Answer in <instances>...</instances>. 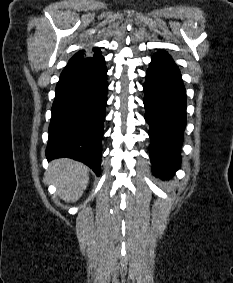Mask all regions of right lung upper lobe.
Listing matches in <instances>:
<instances>
[{
  "label": "right lung upper lobe",
  "mask_w": 233,
  "mask_h": 283,
  "mask_svg": "<svg viewBox=\"0 0 233 283\" xmlns=\"http://www.w3.org/2000/svg\"><path fill=\"white\" fill-rule=\"evenodd\" d=\"M102 54H110V49L94 48L93 50H80L70 59V61L85 57H101Z\"/></svg>",
  "instance_id": "obj_1"
}]
</instances>
